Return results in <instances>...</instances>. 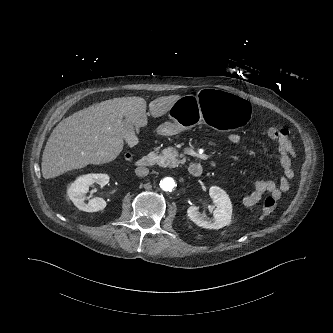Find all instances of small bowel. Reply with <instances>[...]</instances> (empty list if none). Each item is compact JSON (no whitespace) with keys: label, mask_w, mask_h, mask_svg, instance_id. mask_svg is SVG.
I'll return each mask as SVG.
<instances>
[{"label":"small bowel","mask_w":333,"mask_h":333,"mask_svg":"<svg viewBox=\"0 0 333 333\" xmlns=\"http://www.w3.org/2000/svg\"><path fill=\"white\" fill-rule=\"evenodd\" d=\"M270 129H277L278 131V135L275 138H271V140L277 142L283 176L279 184H276L272 180L257 181L253 190L243 196V204L247 207L254 206L260 202L266 194H270L275 199H280L282 194L288 191L292 185V179L294 177L292 161L296 158V151L292 144L289 131L275 127H271L268 130ZM240 139V135L237 133H231L228 136L229 142L234 145L238 144Z\"/></svg>","instance_id":"c3829d8e"}]
</instances>
